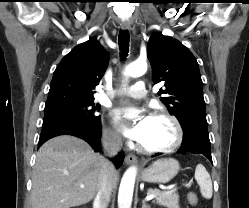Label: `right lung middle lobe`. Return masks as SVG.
Returning <instances> with one entry per match:
<instances>
[{
  "instance_id": "1",
  "label": "right lung middle lobe",
  "mask_w": 249,
  "mask_h": 208,
  "mask_svg": "<svg viewBox=\"0 0 249 208\" xmlns=\"http://www.w3.org/2000/svg\"><path fill=\"white\" fill-rule=\"evenodd\" d=\"M100 107L99 104L95 106L94 100H87L45 107L44 111L45 116L55 115L94 123L100 119V116L95 115V111H99Z\"/></svg>"
}]
</instances>
